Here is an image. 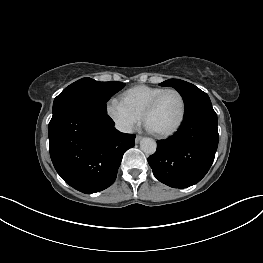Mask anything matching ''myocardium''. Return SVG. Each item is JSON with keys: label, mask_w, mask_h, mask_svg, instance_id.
Here are the masks:
<instances>
[{"label": "myocardium", "mask_w": 263, "mask_h": 263, "mask_svg": "<svg viewBox=\"0 0 263 263\" xmlns=\"http://www.w3.org/2000/svg\"><path fill=\"white\" fill-rule=\"evenodd\" d=\"M169 92H174V93H176L179 96L180 101H181V114H180V117H179L178 121L176 122V124L172 128H170V129H168L166 131H163V132H156V131L151 130L155 135H157L158 137H161V138H166V137H169V136L173 135L174 133H176L178 131V129L181 127V125L183 124V122H184V119H185V116H186V109H187V107H186V100H185V97L182 94V92L180 90L176 89V88H166V89H164L163 91L158 93L148 103V105L146 106V108H145V110H144V112L142 114L143 122L146 125V127L148 128V125H147L148 116L156 108V106L159 103V101L161 100V98L166 93H169Z\"/></svg>", "instance_id": "myocardium-1"}]
</instances>
